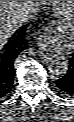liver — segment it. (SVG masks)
<instances>
[{
  "label": "liver",
  "mask_w": 74,
  "mask_h": 122,
  "mask_svg": "<svg viewBox=\"0 0 74 122\" xmlns=\"http://www.w3.org/2000/svg\"><path fill=\"white\" fill-rule=\"evenodd\" d=\"M36 1H0V46L22 26L20 14L25 7L35 6Z\"/></svg>",
  "instance_id": "liver-1"
}]
</instances>
